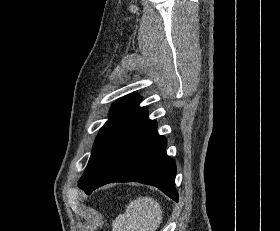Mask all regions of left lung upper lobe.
<instances>
[{
	"mask_svg": "<svg viewBox=\"0 0 280 231\" xmlns=\"http://www.w3.org/2000/svg\"><path fill=\"white\" fill-rule=\"evenodd\" d=\"M140 100L141 97H139L138 95H128L121 98L113 105L112 111L110 112V119L101 128L99 134L95 139L92 154L89 159L87 168L89 167L97 153L111 137H113L116 133L121 131L126 126L148 115L146 107L138 106ZM86 170L84 171V173L86 172ZM81 179L78 186L81 185Z\"/></svg>",
	"mask_w": 280,
	"mask_h": 231,
	"instance_id": "obj_1",
	"label": "left lung upper lobe"
}]
</instances>
